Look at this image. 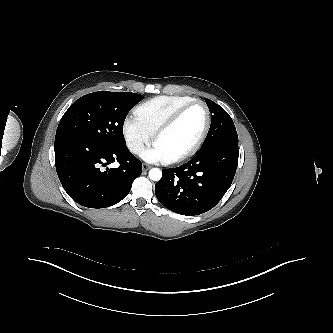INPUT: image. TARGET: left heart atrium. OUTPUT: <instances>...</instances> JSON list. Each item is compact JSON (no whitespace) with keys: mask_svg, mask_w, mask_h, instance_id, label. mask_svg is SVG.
<instances>
[{"mask_svg":"<svg viewBox=\"0 0 333 333\" xmlns=\"http://www.w3.org/2000/svg\"><path fill=\"white\" fill-rule=\"evenodd\" d=\"M142 158L149 162H157V161H161V160H166L165 155L156 145H154L153 148L146 150L142 154Z\"/></svg>","mask_w":333,"mask_h":333,"instance_id":"left-heart-atrium-1","label":"left heart atrium"}]
</instances>
